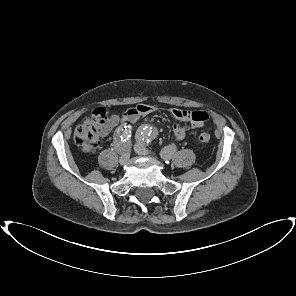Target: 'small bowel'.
<instances>
[{
	"label": "small bowel",
	"mask_w": 296,
	"mask_h": 296,
	"mask_svg": "<svg viewBox=\"0 0 296 296\" xmlns=\"http://www.w3.org/2000/svg\"><path fill=\"white\" fill-rule=\"evenodd\" d=\"M155 108L148 104H139L133 108L128 109L120 118L118 115H113L109 118V129L115 127L120 121L126 123H133L139 118L152 113ZM173 116L181 122H189L193 128L202 127L208 119V114L205 111H190L179 108L172 109ZM205 116V119H196L195 117ZM173 133L177 140H183L186 137L187 128L182 123H176L173 126ZM176 150L174 144H169L163 148V155L172 154Z\"/></svg>",
	"instance_id": "obj_1"
}]
</instances>
